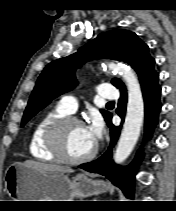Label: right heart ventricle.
<instances>
[{
  "instance_id": "e07e8e85",
  "label": "right heart ventricle",
  "mask_w": 176,
  "mask_h": 211,
  "mask_svg": "<svg viewBox=\"0 0 176 211\" xmlns=\"http://www.w3.org/2000/svg\"><path fill=\"white\" fill-rule=\"evenodd\" d=\"M69 115L68 112L57 106L45 112L32 128L28 149L30 155L40 161L58 162V159L48 150L45 135L48 127L57 119Z\"/></svg>"
}]
</instances>
